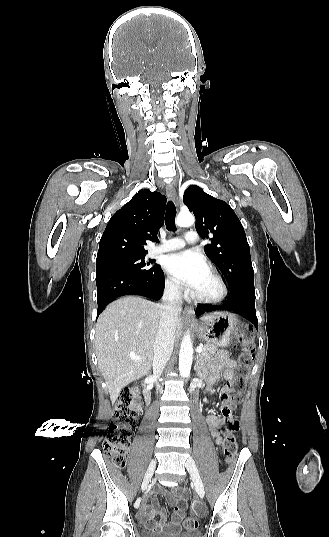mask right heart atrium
Masks as SVG:
<instances>
[{"label": "right heart atrium", "instance_id": "right-heart-atrium-1", "mask_svg": "<svg viewBox=\"0 0 329 537\" xmlns=\"http://www.w3.org/2000/svg\"><path fill=\"white\" fill-rule=\"evenodd\" d=\"M166 291L173 297H179L181 294L180 285L172 278L167 277L165 280Z\"/></svg>", "mask_w": 329, "mask_h": 537}]
</instances>
